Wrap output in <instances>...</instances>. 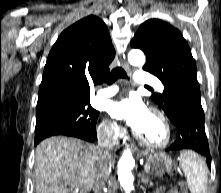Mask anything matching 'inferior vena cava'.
<instances>
[{
  "label": "inferior vena cava",
  "mask_w": 221,
  "mask_h": 193,
  "mask_svg": "<svg viewBox=\"0 0 221 193\" xmlns=\"http://www.w3.org/2000/svg\"><path fill=\"white\" fill-rule=\"evenodd\" d=\"M115 145L113 128L108 131H101L98 135L99 158L95 168L94 189L101 193L105 187V181L110 174L111 151Z\"/></svg>",
  "instance_id": "obj_1"
}]
</instances>
